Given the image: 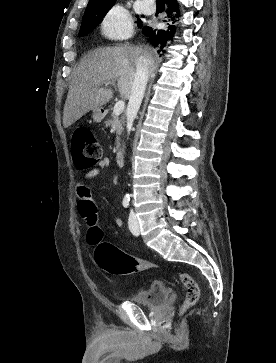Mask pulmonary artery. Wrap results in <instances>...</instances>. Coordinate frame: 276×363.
<instances>
[{"instance_id":"obj_1","label":"pulmonary artery","mask_w":276,"mask_h":363,"mask_svg":"<svg viewBox=\"0 0 276 363\" xmlns=\"http://www.w3.org/2000/svg\"><path fill=\"white\" fill-rule=\"evenodd\" d=\"M152 1V0H143L142 2V9H143V12L145 14H152L154 9L153 8H150L148 3Z\"/></svg>"}]
</instances>
